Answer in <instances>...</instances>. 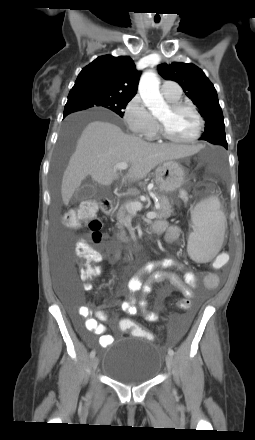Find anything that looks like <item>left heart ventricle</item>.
I'll list each match as a JSON object with an SVG mask.
<instances>
[{
    "instance_id": "left-heart-ventricle-1",
    "label": "left heart ventricle",
    "mask_w": 255,
    "mask_h": 440,
    "mask_svg": "<svg viewBox=\"0 0 255 440\" xmlns=\"http://www.w3.org/2000/svg\"><path fill=\"white\" fill-rule=\"evenodd\" d=\"M158 120L163 122L169 133L177 139H188L192 137L198 127V121L194 113L188 109L173 112L167 108Z\"/></svg>"
}]
</instances>
